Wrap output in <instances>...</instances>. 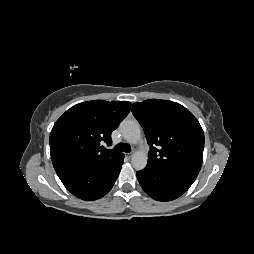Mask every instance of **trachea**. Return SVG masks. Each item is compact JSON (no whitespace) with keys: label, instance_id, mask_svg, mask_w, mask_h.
Returning <instances> with one entry per match:
<instances>
[{"label":"trachea","instance_id":"1","mask_svg":"<svg viewBox=\"0 0 254 254\" xmlns=\"http://www.w3.org/2000/svg\"><path fill=\"white\" fill-rule=\"evenodd\" d=\"M114 150L116 151H124V152H130L131 151V146L129 144H123L119 143L114 147Z\"/></svg>","mask_w":254,"mask_h":254}]
</instances>
